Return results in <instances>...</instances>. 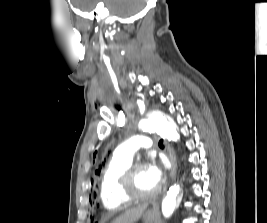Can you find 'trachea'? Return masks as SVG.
Returning a JSON list of instances; mask_svg holds the SVG:
<instances>
[{
	"label": "trachea",
	"instance_id": "obj_1",
	"mask_svg": "<svg viewBox=\"0 0 267 223\" xmlns=\"http://www.w3.org/2000/svg\"><path fill=\"white\" fill-rule=\"evenodd\" d=\"M159 146H164V145H163V139H161V140L159 141Z\"/></svg>",
	"mask_w": 267,
	"mask_h": 223
}]
</instances>
